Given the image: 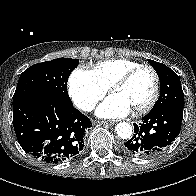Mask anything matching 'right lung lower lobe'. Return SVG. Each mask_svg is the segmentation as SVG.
<instances>
[{
  "label": "right lung lower lobe",
  "instance_id": "right-lung-lower-lobe-1",
  "mask_svg": "<svg viewBox=\"0 0 196 196\" xmlns=\"http://www.w3.org/2000/svg\"><path fill=\"white\" fill-rule=\"evenodd\" d=\"M13 126L25 152L56 164L79 154L91 121L56 95L35 94L13 103Z\"/></svg>",
  "mask_w": 196,
  "mask_h": 196
}]
</instances>
